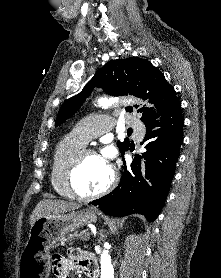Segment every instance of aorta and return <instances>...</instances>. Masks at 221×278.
<instances>
[{"label":"aorta","mask_w":221,"mask_h":278,"mask_svg":"<svg viewBox=\"0 0 221 278\" xmlns=\"http://www.w3.org/2000/svg\"><path fill=\"white\" fill-rule=\"evenodd\" d=\"M98 103L102 107H107L111 104L110 100L107 99H99ZM101 263V278H114V269L111 262V256L109 254V250L107 249L106 244L104 245V250L100 257Z\"/></svg>","instance_id":"aorta-1"}]
</instances>
